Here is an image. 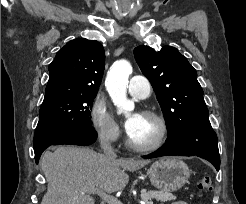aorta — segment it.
I'll return each instance as SVG.
<instances>
[{
    "label": "aorta",
    "instance_id": "aorta-1",
    "mask_svg": "<svg viewBox=\"0 0 246 204\" xmlns=\"http://www.w3.org/2000/svg\"><path fill=\"white\" fill-rule=\"evenodd\" d=\"M131 73V64L127 60H119L112 65L106 78V87L117 107V113L126 116L135 107L134 102L127 98L128 78Z\"/></svg>",
    "mask_w": 246,
    "mask_h": 204
}]
</instances>
